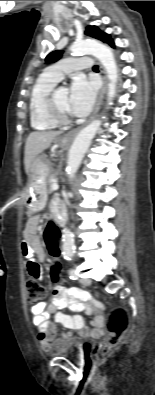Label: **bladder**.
<instances>
[{
  "label": "bladder",
  "mask_w": 155,
  "mask_h": 395,
  "mask_svg": "<svg viewBox=\"0 0 155 395\" xmlns=\"http://www.w3.org/2000/svg\"><path fill=\"white\" fill-rule=\"evenodd\" d=\"M91 344L77 338H62L53 342L51 353L55 356H67L81 359L87 356Z\"/></svg>",
  "instance_id": "bladder-1"
}]
</instances>
